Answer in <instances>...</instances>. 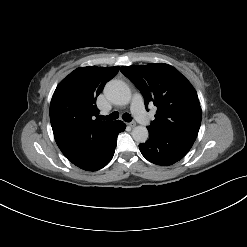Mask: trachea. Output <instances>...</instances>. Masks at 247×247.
Listing matches in <instances>:
<instances>
[{"label": "trachea", "instance_id": "1", "mask_svg": "<svg viewBox=\"0 0 247 247\" xmlns=\"http://www.w3.org/2000/svg\"><path fill=\"white\" fill-rule=\"evenodd\" d=\"M118 117H119V113H118L117 111L111 113V114L108 115V116H101V115L99 116L100 119H102V120H109V121H111V120H116ZM122 119H123L124 121H126V122H131V121H132V117H131V115L128 114V113H124V114L122 115Z\"/></svg>", "mask_w": 247, "mask_h": 247}]
</instances>
